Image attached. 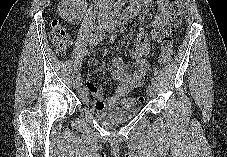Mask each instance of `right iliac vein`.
Here are the masks:
<instances>
[{"instance_id": "right-iliac-vein-1", "label": "right iliac vein", "mask_w": 227, "mask_h": 157, "mask_svg": "<svg viewBox=\"0 0 227 157\" xmlns=\"http://www.w3.org/2000/svg\"><path fill=\"white\" fill-rule=\"evenodd\" d=\"M81 85H82V81L79 77H77L73 82V86L75 89H79Z\"/></svg>"}]
</instances>
